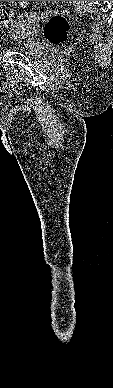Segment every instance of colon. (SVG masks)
Masks as SVG:
<instances>
[{"mask_svg":"<svg viewBox=\"0 0 113 388\" xmlns=\"http://www.w3.org/2000/svg\"><path fill=\"white\" fill-rule=\"evenodd\" d=\"M36 18L44 22L43 35L48 42L59 45L67 40L70 24L63 12L56 11L49 15L40 14ZM15 24L16 19L0 7V25L14 28Z\"/></svg>","mask_w":113,"mask_h":388,"instance_id":"obj_1","label":"colon"}]
</instances>
